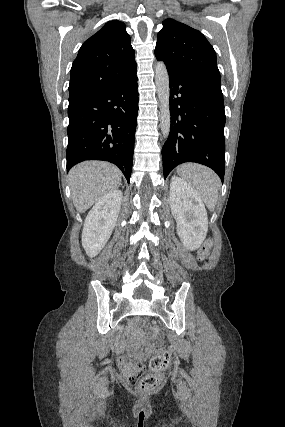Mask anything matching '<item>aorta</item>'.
I'll list each match as a JSON object with an SVG mask.
<instances>
[{
  "label": "aorta",
  "instance_id": "obj_1",
  "mask_svg": "<svg viewBox=\"0 0 285 427\" xmlns=\"http://www.w3.org/2000/svg\"><path fill=\"white\" fill-rule=\"evenodd\" d=\"M155 84L160 107V127L163 138L166 140L170 132V88L169 75L163 62H157L155 65Z\"/></svg>",
  "mask_w": 285,
  "mask_h": 427
}]
</instances>
